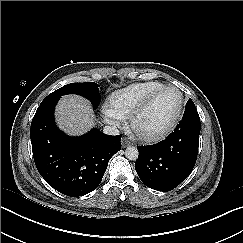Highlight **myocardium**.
<instances>
[{
    "label": "myocardium",
    "instance_id": "myocardium-1",
    "mask_svg": "<svg viewBox=\"0 0 243 243\" xmlns=\"http://www.w3.org/2000/svg\"><path fill=\"white\" fill-rule=\"evenodd\" d=\"M167 90H176L179 92L180 94V103H179V108L178 111L175 115V117L173 118V120L166 126V128H164L162 131H160L159 133L156 134H144L141 133L137 127H136V121L138 119V117L143 113V111L153 102V100L160 95L161 93L167 91ZM184 93L183 91L174 86V85H168V86H164L160 89H158L157 91L153 92L150 96H148L144 101H142L130 114L129 116V128L131 130V132L137 136L141 141L143 142H156L159 141L161 139H163L164 137H166L174 128L175 126L178 124L181 116H182V112H183V108H184Z\"/></svg>",
    "mask_w": 243,
    "mask_h": 243
}]
</instances>
